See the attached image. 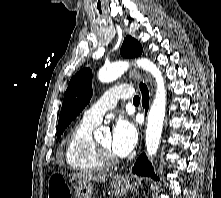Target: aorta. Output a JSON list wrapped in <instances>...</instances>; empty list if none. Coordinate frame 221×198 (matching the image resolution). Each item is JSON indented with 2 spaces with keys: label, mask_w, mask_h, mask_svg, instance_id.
Listing matches in <instances>:
<instances>
[{
  "label": "aorta",
  "mask_w": 221,
  "mask_h": 198,
  "mask_svg": "<svg viewBox=\"0 0 221 198\" xmlns=\"http://www.w3.org/2000/svg\"><path fill=\"white\" fill-rule=\"evenodd\" d=\"M138 67L149 72L156 82V94L147 116V127L145 144L148 157L156 155L165 117L166 109V88L165 81L160 69L149 59L142 58L136 61ZM129 67L128 62H116L110 66L103 67L98 72V79L101 82H111L120 77Z\"/></svg>",
  "instance_id": "1"
}]
</instances>
